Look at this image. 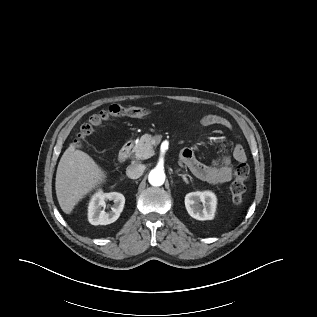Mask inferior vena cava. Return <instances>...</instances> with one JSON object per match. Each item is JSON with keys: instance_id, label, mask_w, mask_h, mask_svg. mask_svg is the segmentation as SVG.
<instances>
[{"instance_id": "inferior-vena-cava-1", "label": "inferior vena cava", "mask_w": 317, "mask_h": 317, "mask_svg": "<svg viewBox=\"0 0 317 317\" xmlns=\"http://www.w3.org/2000/svg\"><path fill=\"white\" fill-rule=\"evenodd\" d=\"M144 169L141 164L129 165L126 169V175L131 179H137L143 174Z\"/></svg>"}]
</instances>
